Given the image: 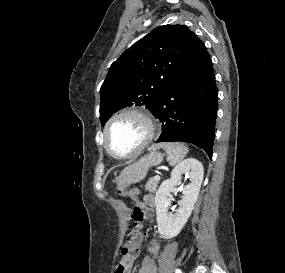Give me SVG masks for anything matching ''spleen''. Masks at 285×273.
<instances>
[{
  "label": "spleen",
  "instance_id": "1",
  "mask_svg": "<svg viewBox=\"0 0 285 273\" xmlns=\"http://www.w3.org/2000/svg\"><path fill=\"white\" fill-rule=\"evenodd\" d=\"M163 148L168 154V160L170 165L175 166L181 162V160L188 153V148L179 142H166L157 145H153L151 149L155 150Z\"/></svg>",
  "mask_w": 285,
  "mask_h": 273
}]
</instances>
